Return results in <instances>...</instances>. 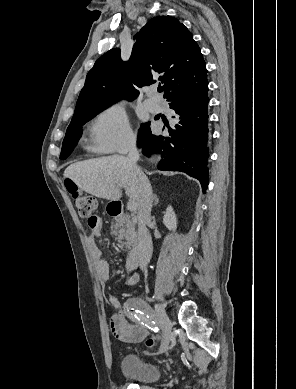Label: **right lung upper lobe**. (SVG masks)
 <instances>
[{
  "label": "right lung upper lobe",
  "mask_w": 296,
  "mask_h": 389,
  "mask_svg": "<svg viewBox=\"0 0 296 389\" xmlns=\"http://www.w3.org/2000/svg\"><path fill=\"white\" fill-rule=\"evenodd\" d=\"M127 62L120 49L102 55L88 72L74 115L93 107L110 106L119 99H135L137 88L163 83L164 97L175 99L208 86L207 69L200 48L189 30L176 18L157 16L135 35ZM169 103V104H170Z\"/></svg>",
  "instance_id": "cb5924a9"
}]
</instances>
